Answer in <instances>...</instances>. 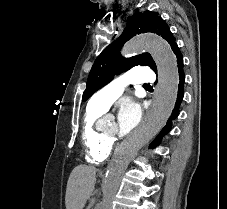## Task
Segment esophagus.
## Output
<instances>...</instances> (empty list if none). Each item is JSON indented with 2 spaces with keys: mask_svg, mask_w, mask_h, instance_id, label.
Wrapping results in <instances>:
<instances>
[{
  "mask_svg": "<svg viewBox=\"0 0 227 209\" xmlns=\"http://www.w3.org/2000/svg\"><path fill=\"white\" fill-rule=\"evenodd\" d=\"M156 98H157V94H156V89H155V92H154V94H153V96H152L153 101H154ZM157 106H158V103H157V102H152L150 108H147V109H146V116H145V119H146V120H149V119H150V116H153L154 109H155V107H157ZM136 128H137V127H136Z\"/></svg>",
  "mask_w": 227,
  "mask_h": 209,
  "instance_id": "esophagus-1",
  "label": "esophagus"
}]
</instances>
